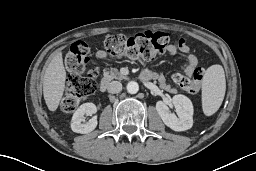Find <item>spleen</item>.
Segmentation results:
<instances>
[{
    "mask_svg": "<svg viewBox=\"0 0 256 171\" xmlns=\"http://www.w3.org/2000/svg\"><path fill=\"white\" fill-rule=\"evenodd\" d=\"M226 91L224 69L221 65L210 66L202 80V109L211 116L220 108Z\"/></svg>",
    "mask_w": 256,
    "mask_h": 171,
    "instance_id": "obj_1",
    "label": "spleen"
}]
</instances>
